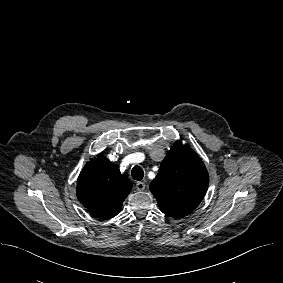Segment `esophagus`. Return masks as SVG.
Instances as JSON below:
<instances>
[{"label":"esophagus","instance_id":"1","mask_svg":"<svg viewBox=\"0 0 283 283\" xmlns=\"http://www.w3.org/2000/svg\"><path fill=\"white\" fill-rule=\"evenodd\" d=\"M145 187H146V185H145V183L142 182V181H138V182L136 183V189H137L138 191H143V190L145 189Z\"/></svg>","mask_w":283,"mask_h":283}]
</instances>
